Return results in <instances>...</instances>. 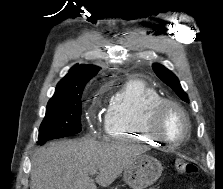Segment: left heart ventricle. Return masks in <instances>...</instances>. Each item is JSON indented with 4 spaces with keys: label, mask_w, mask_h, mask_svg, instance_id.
Wrapping results in <instances>:
<instances>
[{
    "label": "left heart ventricle",
    "mask_w": 223,
    "mask_h": 189,
    "mask_svg": "<svg viewBox=\"0 0 223 189\" xmlns=\"http://www.w3.org/2000/svg\"><path fill=\"white\" fill-rule=\"evenodd\" d=\"M184 121L180 113L169 107L160 120V132L170 142H176L184 134Z\"/></svg>",
    "instance_id": "left-heart-ventricle-1"
}]
</instances>
